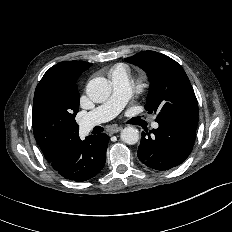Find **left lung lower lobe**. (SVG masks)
Listing matches in <instances>:
<instances>
[{
    "label": "left lung lower lobe",
    "mask_w": 232,
    "mask_h": 232,
    "mask_svg": "<svg viewBox=\"0 0 232 232\" xmlns=\"http://www.w3.org/2000/svg\"><path fill=\"white\" fill-rule=\"evenodd\" d=\"M157 129L142 132L139 160L151 169L165 171L186 160L195 142L198 116L169 115Z\"/></svg>",
    "instance_id": "0a47b994"
}]
</instances>
